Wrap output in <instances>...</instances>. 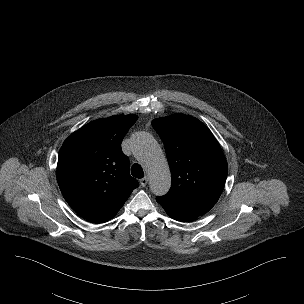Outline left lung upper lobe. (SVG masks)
I'll list each match as a JSON object with an SVG mask.
<instances>
[{
	"instance_id": "obj_1",
	"label": "left lung upper lobe",
	"mask_w": 304,
	"mask_h": 304,
	"mask_svg": "<svg viewBox=\"0 0 304 304\" xmlns=\"http://www.w3.org/2000/svg\"><path fill=\"white\" fill-rule=\"evenodd\" d=\"M164 143L171 170V188L160 198L203 215L218 201L228 166L219 143L198 119L174 114L152 121Z\"/></svg>"
}]
</instances>
